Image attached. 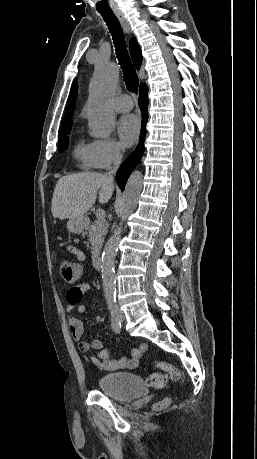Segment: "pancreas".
<instances>
[{"mask_svg":"<svg viewBox=\"0 0 257 459\" xmlns=\"http://www.w3.org/2000/svg\"><path fill=\"white\" fill-rule=\"evenodd\" d=\"M108 223L103 220H97L88 228L89 241L92 246V256L96 257L104 243L105 235L107 234ZM86 234V233H85Z\"/></svg>","mask_w":257,"mask_h":459,"instance_id":"1","label":"pancreas"}]
</instances>
